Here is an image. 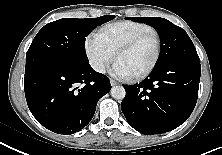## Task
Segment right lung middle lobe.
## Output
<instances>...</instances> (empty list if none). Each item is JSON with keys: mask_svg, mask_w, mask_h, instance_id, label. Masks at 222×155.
<instances>
[{"mask_svg": "<svg viewBox=\"0 0 222 155\" xmlns=\"http://www.w3.org/2000/svg\"><path fill=\"white\" fill-rule=\"evenodd\" d=\"M114 19L105 15L98 18H63L45 25L35 36L26 54L25 73L50 64H88L85 37L98 25Z\"/></svg>", "mask_w": 222, "mask_h": 155, "instance_id": "obj_1", "label": "right lung middle lobe"}]
</instances>
